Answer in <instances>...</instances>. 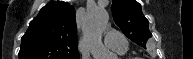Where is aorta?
<instances>
[{
	"mask_svg": "<svg viewBox=\"0 0 193 59\" xmlns=\"http://www.w3.org/2000/svg\"><path fill=\"white\" fill-rule=\"evenodd\" d=\"M109 15L105 9L94 8L88 11L83 30L86 39L91 44V53L95 59H116V55L104 49L102 33L108 23Z\"/></svg>",
	"mask_w": 193,
	"mask_h": 59,
	"instance_id": "aorta-1",
	"label": "aorta"
}]
</instances>
